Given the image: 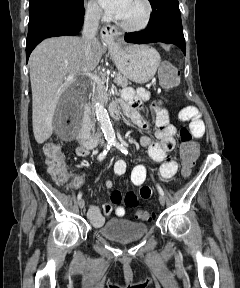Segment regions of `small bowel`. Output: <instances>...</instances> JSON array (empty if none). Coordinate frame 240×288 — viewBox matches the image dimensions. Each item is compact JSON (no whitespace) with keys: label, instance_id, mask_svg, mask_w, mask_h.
I'll list each match as a JSON object with an SVG mask.
<instances>
[{"label":"small bowel","instance_id":"1","mask_svg":"<svg viewBox=\"0 0 240 288\" xmlns=\"http://www.w3.org/2000/svg\"><path fill=\"white\" fill-rule=\"evenodd\" d=\"M150 101L151 108L155 113V138L144 135L140 139L143 147L147 148L150 158L160 163L159 175L163 179L173 177L177 170L178 164L170 157V152L176 143L177 129L170 123L169 113L166 107L159 101L153 100L150 93L144 88L136 90L125 88L121 93L120 103L127 116L142 130H148L149 125L140 113V109L145 102ZM178 119L181 122H188V130L194 138H200L205 132L204 122L201 119L199 110L193 106L182 108L178 113ZM90 148L80 145L76 148L75 153L79 157L90 155ZM114 173L117 176L123 175L127 170V164L120 159L114 164ZM146 180V170L143 165H136L131 172V182L136 186H141L140 196L142 199L151 197L152 190L148 186H142ZM83 183V178L75 176L72 186L78 189ZM106 187L110 189L112 182L107 181ZM121 193L114 191L112 193V204L105 203L102 206V211L97 206H90L87 216L94 227H100L105 217L109 216L112 211L118 217L125 215V209L121 206Z\"/></svg>","mask_w":240,"mask_h":288}]
</instances>
